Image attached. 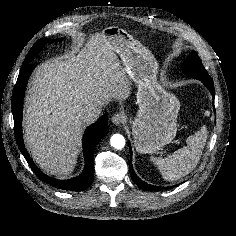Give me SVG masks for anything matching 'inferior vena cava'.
<instances>
[{
    "label": "inferior vena cava",
    "instance_id": "obj_1",
    "mask_svg": "<svg viewBox=\"0 0 236 236\" xmlns=\"http://www.w3.org/2000/svg\"><path fill=\"white\" fill-rule=\"evenodd\" d=\"M102 106H99L98 104H92L83 109L82 112V120L86 124H91L95 122L100 114Z\"/></svg>",
    "mask_w": 236,
    "mask_h": 236
}]
</instances>
